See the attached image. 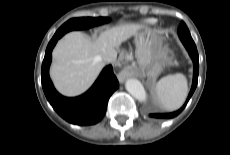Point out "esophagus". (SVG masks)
Returning <instances> with one entry per match:
<instances>
[{
    "mask_svg": "<svg viewBox=\"0 0 230 155\" xmlns=\"http://www.w3.org/2000/svg\"><path fill=\"white\" fill-rule=\"evenodd\" d=\"M128 76H129V72L127 70H122L118 74V80H119V82L122 83Z\"/></svg>",
    "mask_w": 230,
    "mask_h": 155,
    "instance_id": "esophagus-1",
    "label": "esophagus"
}]
</instances>
